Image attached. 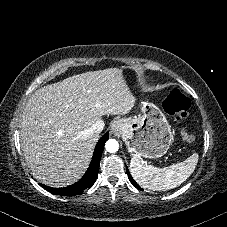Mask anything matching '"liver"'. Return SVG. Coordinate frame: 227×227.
Returning <instances> with one entry per match:
<instances>
[{
  "instance_id": "liver-1",
  "label": "liver",
  "mask_w": 227,
  "mask_h": 227,
  "mask_svg": "<svg viewBox=\"0 0 227 227\" xmlns=\"http://www.w3.org/2000/svg\"><path fill=\"white\" fill-rule=\"evenodd\" d=\"M135 101L118 68L74 75L34 91L20 122L31 174L55 188L77 182L99 139L95 122L103 115L128 114Z\"/></svg>"
}]
</instances>
